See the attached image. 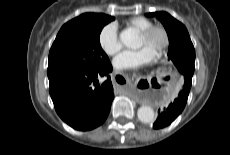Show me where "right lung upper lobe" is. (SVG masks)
I'll list each match as a JSON object with an SVG mask.
<instances>
[{
    "label": "right lung upper lobe",
    "mask_w": 230,
    "mask_h": 155,
    "mask_svg": "<svg viewBox=\"0 0 230 155\" xmlns=\"http://www.w3.org/2000/svg\"><path fill=\"white\" fill-rule=\"evenodd\" d=\"M102 14H97V13H85L82 14L73 20L67 22L66 24L63 25L62 28H67V27H72V26H80L84 24H88L94 19L100 17Z\"/></svg>",
    "instance_id": "cb5924a9"
}]
</instances>
